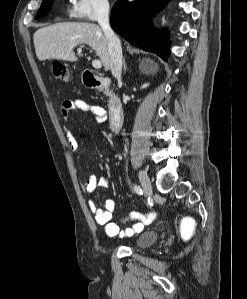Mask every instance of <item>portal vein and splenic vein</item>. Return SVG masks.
I'll use <instances>...</instances> for the list:
<instances>
[{
	"instance_id": "portal-vein-and-splenic-vein-1",
	"label": "portal vein and splenic vein",
	"mask_w": 247,
	"mask_h": 299,
	"mask_svg": "<svg viewBox=\"0 0 247 299\" xmlns=\"http://www.w3.org/2000/svg\"><path fill=\"white\" fill-rule=\"evenodd\" d=\"M79 53L82 51V48H78V50H77ZM92 66L94 67V68H96V69H100L101 67H102V63H101V61H99V60H97V59H94L93 61H92Z\"/></svg>"
}]
</instances>
